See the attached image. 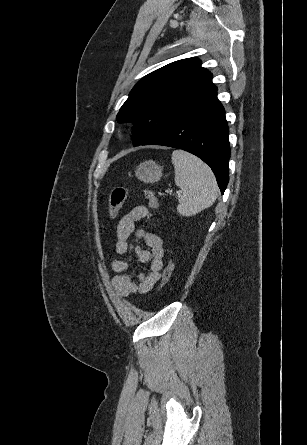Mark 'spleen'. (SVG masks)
<instances>
[{
	"mask_svg": "<svg viewBox=\"0 0 307 445\" xmlns=\"http://www.w3.org/2000/svg\"><path fill=\"white\" fill-rule=\"evenodd\" d=\"M172 164L175 182L181 188L177 206L179 214L192 216L215 202L219 188L208 164L185 150H173Z\"/></svg>",
	"mask_w": 307,
	"mask_h": 445,
	"instance_id": "obj_1",
	"label": "spleen"
}]
</instances>
